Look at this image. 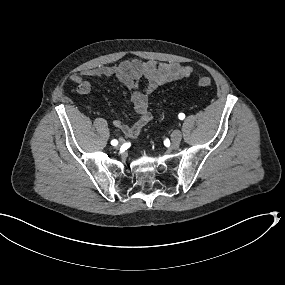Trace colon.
<instances>
[{
    "label": "colon",
    "instance_id": "5ec220e1",
    "mask_svg": "<svg viewBox=\"0 0 285 285\" xmlns=\"http://www.w3.org/2000/svg\"><path fill=\"white\" fill-rule=\"evenodd\" d=\"M197 85L199 87H203V88H209V87H212L213 85V82L210 78L208 77H200L198 80H197Z\"/></svg>",
    "mask_w": 285,
    "mask_h": 285
}]
</instances>
